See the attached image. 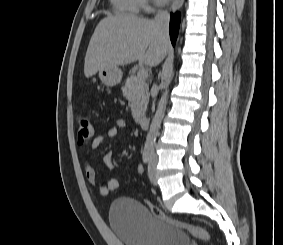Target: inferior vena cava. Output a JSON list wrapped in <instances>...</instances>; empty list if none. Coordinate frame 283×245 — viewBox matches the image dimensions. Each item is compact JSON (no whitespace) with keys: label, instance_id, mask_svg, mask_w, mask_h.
Masks as SVG:
<instances>
[{"label":"inferior vena cava","instance_id":"inferior-vena-cava-1","mask_svg":"<svg viewBox=\"0 0 283 245\" xmlns=\"http://www.w3.org/2000/svg\"><path fill=\"white\" fill-rule=\"evenodd\" d=\"M154 21L162 28L164 33L168 35L169 13L167 11H159L155 16Z\"/></svg>","mask_w":283,"mask_h":245}]
</instances>
